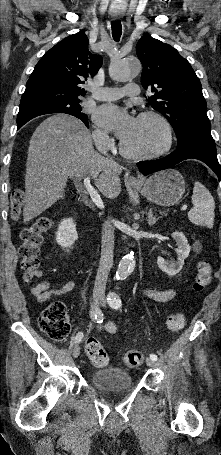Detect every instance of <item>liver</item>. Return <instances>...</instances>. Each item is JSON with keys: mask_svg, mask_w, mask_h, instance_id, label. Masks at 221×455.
Listing matches in <instances>:
<instances>
[{"mask_svg": "<svg viewBox=\"0 0 221 455\" xmlns=\"http://www.w3.org/2000/svg\"><path fill=\"white\" fill-rule=\"evenodd\" d=\"M121 171L120 165L94 150L91 133L81 120L67 114L48 117L29 142L24 221L63 199L69 178L91 177L105 197L116 198L121 192Z\"/></svg>", "mask_w": 221, "mask_h": 455, "instance_id": "1", "label": "liver"}]
</instances>
